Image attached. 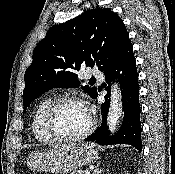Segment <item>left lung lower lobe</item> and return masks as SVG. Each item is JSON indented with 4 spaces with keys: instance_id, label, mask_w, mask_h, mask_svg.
<instances>
[{
    "instance_id": "obj_1",
    "label": "left lung lower lobe",
    "mask_w": 175,
    "mask_h": 174,
    "mask_svg": "<svg viewBox=\"0 0 175 174\" xmlns=\"http://www.w3.org/2000/svg\"><path fill=\"white\" fill-rule=\"evenodd\" d=\"M106 81L118 78L120 83L122 102L124 108V118L119 131L114 136L108 135L106 117L109 109V93L105 95V102L101 104L103 114L101 126L86 141L96 142L100 145L108 144H130L142 150L141 123L139 104L138 73L132 44H128L118 59L104 72ZM98 93L93 97L96 99Z\"/></svg>"
}]
</instances>
